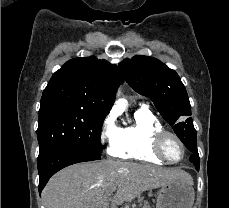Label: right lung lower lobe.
<instances>
[{
    "mask_svg": "<svg viewBox=\"0 0 229 208\" xmlns=\"http://www.w3.org/2000/svg\"><path fill=\"white\" fill-rule=\"evenodd\" d=\"M101 159V155L89 152L75 146H64L51 151L38 160L39 193L57 171L69 165Z\"/></svg>",
    "mask_w": 229,
    "mask_h": 208,
    "instance_id": "obj_1",
    "label": "right lung lower lobe"
}]
</instances>
